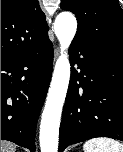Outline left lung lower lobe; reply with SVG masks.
<instances>
[{
	"label": "left lung lower lobe",
	"mask_w": 123,
	"mask_h": 152,
	"mask_svg": "<svg viewBox=\"0 0 123 152\" xmlns=\"http://www.w3.org/2000/svg\"><path fill=\"white\" fill-rule=\"evenodd\" d=\"M59 152L95 137L123 141V58L74 39Z\"/></svg>",
	"instance_id": "left-lung-lower-lobe-1"
}]
</instances>
